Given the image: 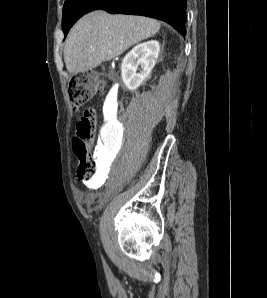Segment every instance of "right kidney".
<instances>
[{
	"label": "right kidney",
	"instance_id": "right-kidney-1",
	"mask_svg": "<svg viewBox=\"0 0 267 298\" xmlns=\"http://www.w3.org/2000/svg\"><path fill=\"white\" fill-rule=\"evenodd\" d=\"M160 51L159 42L147 41L136 45L123 59L121 76L129 90L137 89L155 66ZM138 66L140 71L137 73Z\"/></svg>",
	"mask_w": 267,
	"mask_h": 298
}]
</instances>
